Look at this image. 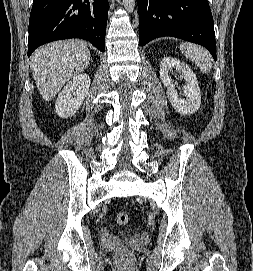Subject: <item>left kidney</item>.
Segmentation results:
<instances>
[{
  "mask_svg": "<svg viewBox=\"0 0 253 271\" xmlns=\"http://www.w3.org/2000/svg\"><path fill=\"white\" fill-rule=\"evenodd\" d=\"M176 69L181 73V78L185 80L182 90L185 99L179 97L175 85L170 77V71ZM160 78L164 86L167 87V97L174 109L183 115H190L200 108L201 93L198 81L194 72L188 65L172 57H164L160 64Z\"/></svg>",
  "mask_w": 253,
  "mask_h": 271,
  "instance_id": "obj_1",
  "label": "left kidney"
}]
</instances>
